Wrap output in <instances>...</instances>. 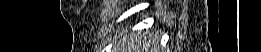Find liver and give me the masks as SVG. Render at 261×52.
Segmentation results:
<instances>
[{
  "label": "liver",
  "instance_id": "6515ba94",
  "mask_svg": "<svg viewBox=\"0 0 261 52\" xmlns=\"http://www.w3.org/2000/svg\"><path fill=\"white\" fill-rule=\"evenodd\" d=\"M158 40L157 34L128 35L119 43L120 52H160Z\"/></svg>",
  "mask_w": 261,
  "mask_h": 52
}]
</instances>
